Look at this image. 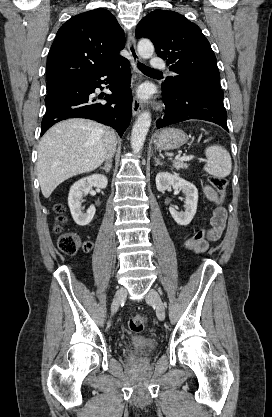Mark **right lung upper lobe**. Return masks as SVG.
Segmentation results:
<instances>
[{
    "label": "right lung upper lobe",
    "mask_w": 272,
    "mask_h": 417,
    "mask_svg": "<svg viewBox=\"0 0 272 417\" xmlns=\"http://www.w3.org/2000/svg\"><path fill=\"white\" fill-rule=\"evenodd\" d=\"M124 31L106 9L75 15L57 32L47 59V88L98 73L119 59Z\"/></svg>",
    "instance_id": "right-lung-upper-lobe-1"
}]
</instances>
